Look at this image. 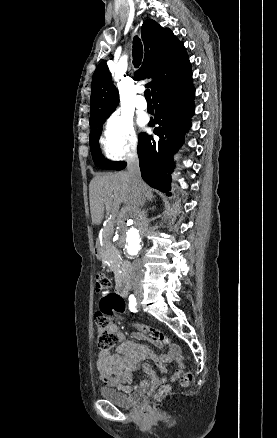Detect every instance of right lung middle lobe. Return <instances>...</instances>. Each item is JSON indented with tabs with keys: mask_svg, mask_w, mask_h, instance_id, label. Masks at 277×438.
Segmentation results:
<instances>
[{
	"mask_svg": "<svg viewBox=\"0 0 277 438\" xmlns=\"http://www.w3.org/2000/svg\"><path fill=\"white\" fill-rule=\"evenodd\" d=\"M104 122H95L90 123L91 132H90V150L92 153L93 160L96 166H99L102 169H115L122 162H110L106 161L100 152V147L98 144V140L101 134L102 125Z\"/></svg>",
	"mask_w": 277,
	"mask_h": 438,
	"instance_id": "1",
	"label": "right lung middle lobe"
}]
</instances>
